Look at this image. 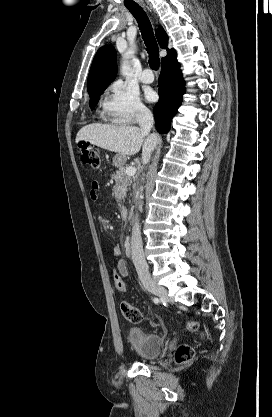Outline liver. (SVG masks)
<instances>
[{"mask_svg": "<svg viewBox=\"0 0 272 417\" xmlns=\"http://www.w3.org/2000/svg\"><path fill=\"white\" fill-rule=\"evenodd\" d=\"M79 141H89L93 145L123 155H135L142 147V162L147 164L160 138L155 134L149 135V132L136 126L95 123L78 131L76 143Z\"/></svg>", "mask_w": 272, "mask_h": 417, "instance_id": "obj_1", "label": "liver"}]
</instances>
